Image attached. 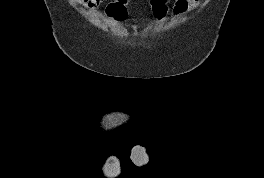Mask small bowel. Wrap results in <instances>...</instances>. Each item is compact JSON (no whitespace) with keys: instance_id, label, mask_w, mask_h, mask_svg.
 <instances>
[{"instance_id":"1","label":"small bowel","mask_w":264,"mask_h":178,"mask_svg":"<svg viewBox=\"0 0 264 178\" xmlns=\"http://www.w3.org/2000/svg\"><path fill=\"white\" fill-rule=\"evenodd\" d=\"M77 4L84 6L89 11L100 8L105 0H74ZM201 0H172L171 13L173 17H179L193 10Z\"/></svg>"}]
</instances>
